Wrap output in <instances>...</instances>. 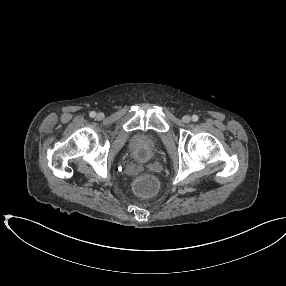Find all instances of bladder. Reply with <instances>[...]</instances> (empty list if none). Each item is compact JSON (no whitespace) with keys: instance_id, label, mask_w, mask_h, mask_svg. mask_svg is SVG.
Wrapping results in <instances>:
<instances>
[{"instance_id":"bladder-1","label":"bladder","mask_w":286,"mask_h":286,"mask_svg":"<svg viewBox=\"0 0 286 286\" xmlns=\"http://www.w3.org/2000/svg\"><path fill=\"white\" fill-rule=\"evenodd\" d=\"M130 147L139 161L147 162L157 149V140L140 132L132 137Z\"/></svg>"}]
</instances>
